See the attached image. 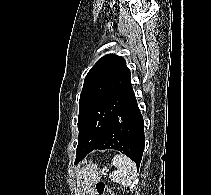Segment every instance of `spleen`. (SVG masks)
<instances>
[{"mask_svg":"<svg viewBox=\"0 0 211 195\" xmlns=\"http://www.w3.org/2000/svg\"><path fill=\"white\" fill-rule=\"evenodd\" d=\"M112 164L116 170L109 175L110 179L122 186L131 185L137 176L135 163L127 156L119 154L113 157Z\"/></svg>","mask_w":211,"mask_h":195,"instance_id":"spleen-1","label":"spleen"}]
</instances>
